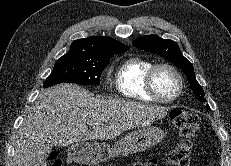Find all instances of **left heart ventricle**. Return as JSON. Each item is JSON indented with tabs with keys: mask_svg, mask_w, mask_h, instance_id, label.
<instances>
[{
	"mask_svg": "<svg viewBox=\"0 0 231 166\" xmlns=\"http://www.w3.org/2000/svg\"><path fill=\"white\" fill-rule=\"evenodd\" d=\"M154 84L157 92L164 98H171L178 89L175 75L168 69H159L155 75Z\"/></svg>",
	"mask_w": 231,
	"mask_h": 166,
	"instance_id": "obj_1",
	"label": "left heart ventricle"
}]
</instances>
